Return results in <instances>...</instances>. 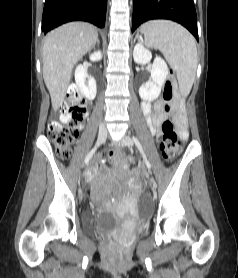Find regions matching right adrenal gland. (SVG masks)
Wrapping results in <instances>:
<instances>
[{
  "label": "right adrenal gland",
  "mask_w": 238,
  "mask_h": 278,
  "mask_svg": "<svg viewBox=\"0 0 238 278\" xmlns=\"http://www.w3.org/2000/svg\"><path fill=\"white\" fill-rule=\"evenodd\" d=\"M96 42H97V44L99 45V43H100V42H99V39H97V41H96Z\"/></svg>",
  "instance_id": "obj_1"
}]
</instances>
